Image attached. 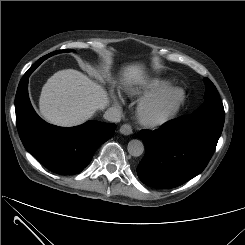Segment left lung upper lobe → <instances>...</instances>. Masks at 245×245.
<instances>
[{"label": "left lung upper lobe", "instance_id": "5c2ea615", "mask_svg": "<svg viewBox=\"0 0 245 245\" xmlns=\"http://www.w3.org/2000/svg\"><path fill=\"white\" fill-rule=\"evenodd\" d=\"M204 81L206 84L205 102L190 116L209 118L224 123L225 112L217 89L208 78Z\"/></svg>", "mask_w": 245, "mask_h": 245}]
</instances>
